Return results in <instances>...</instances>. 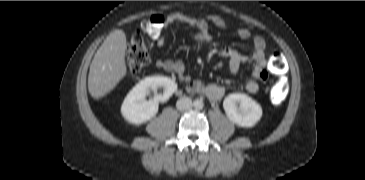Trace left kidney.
<instances>
[{"label":"left kidney","mask_w":365,"mask_h":180,"mask_svg":"<svg viewBox=\"0 0 365 180\" xmlns=\"http://www.w3.org/2000/svg\"><path fill=\"white\" fill-rule=\"evenodd\" d=\"M227 117L235 124L250 128L262 117L261 106L246 94H230L223 101Z\"/></svg>","instance_id":"1"}]
</instances>
